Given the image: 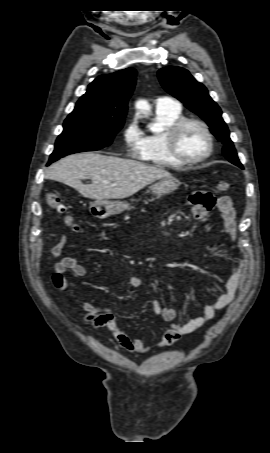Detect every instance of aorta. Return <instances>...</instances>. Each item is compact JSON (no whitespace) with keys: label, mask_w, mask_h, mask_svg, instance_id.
Returning <instances> with one entry per match:
<instances>
[{"label":"aorta","mask_w":270,"mask_h":453,"mask_svg":"<svg viewBox=\"0 0 270 453\" xmlns=\"http://www.w3.org/2000/svg\"><path fill=\"white\" fill-rule=\"evenodd\" d=\"M136 108L144 115H148L151 111V107L146 101H138L136 103Z\"/></svg>","instance_id":"obj_1"}]
</instances>
